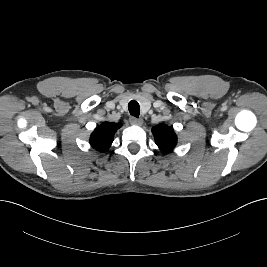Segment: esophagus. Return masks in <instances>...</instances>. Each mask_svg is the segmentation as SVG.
I'll return each mask as SVG.
<instances>
[{
	"instance_id": "1",
	"label": "esophagus",
	"mask_w": 267,
	"mask_h": 267,
	"mask_svg": "<svg viewBox=\"0 0 267 267\" xmlns=\"http://www.w3.org/2000/svg\"><path fill=\"white\" fill-rule=\"evenodd\" d=\"M130 123L132 125H142L143 124V120L140 118H136V117H131L130 118Z\"/></svg>"
}]
</instances>
